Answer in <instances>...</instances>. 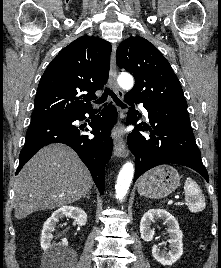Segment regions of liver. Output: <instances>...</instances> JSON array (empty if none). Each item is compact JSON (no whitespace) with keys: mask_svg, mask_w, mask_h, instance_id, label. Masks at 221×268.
Masks as SVG:
<instances>
[{"mask_svg":"<svg viewBox=\"0 0 221 268\" xmlns=\"http://www.w3.org/2000/svg\"><path fill=\"white\" fill-rule=\"evenodd\" d=\"M93 186L92 177L68 146L52 144L41 149L15 179V217L65 206L82 198Z\"/></svg>","mask_w":221,"mask_h":268,"instance_id":"liver-1","label":"liver"}]
</instances>
